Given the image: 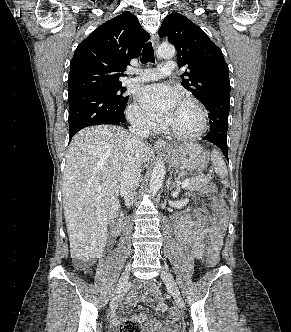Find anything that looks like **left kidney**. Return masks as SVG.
<instances>
[{
    "label": "left kidney",
    "mask_w": 291,
    "mask_h": 332,
    "mask_svg": "<svg viewBox=\"0 0 291 332\" xmlns=\"http://www.w3.org/2000/svg\"><path fill=\"white\" fill-rule=\"evenodd\" d=\"M179 192L178 191H174L172 192V197L173 198H176L178 196Z\"/></svg>",
    "instance_id": "5707ae66"
}]
</instances>
